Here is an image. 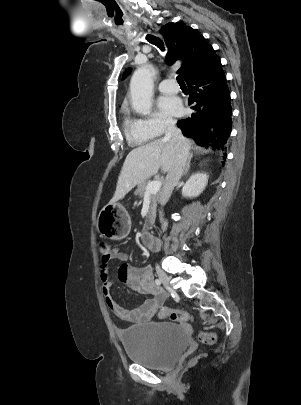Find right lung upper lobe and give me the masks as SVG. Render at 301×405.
I'll return each mask as SVG.
<instances>
[{
  "mask_svg": "<svg viewBox=\"0 0 301 405\" xmlns=\"http://www.w3.org/2000/svg\"><path fill=\"white\" fill-rule=\"evenodd\" d=\"M160 33L168 48L166 56L168 62L170 64L177 60L183 62L178 72L183 75L185 80L208 68L219 59L206 39L190 26L170 22L161 28ZM130 71L131 69L125 71L123 79L128 76Z\"/></svg>",
  "mask_w": 301,
  "mask_h": 405,
  "instance_id": "right-lung-upper-lobe-1",
  "label": "right lung upper lobe"
}]
</instances>
